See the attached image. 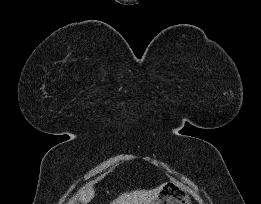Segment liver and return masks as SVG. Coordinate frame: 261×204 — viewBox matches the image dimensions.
<instances>
[{"label":"liver","mask_w":261,"mask_h":204,"mask_svg":"<svg viewBox=\"0 0 261 204\" xmlns=\"http://www.w3.org/2000/svg\"><path fill=\"white\" fill-rule=\"evenodd\" d=\"M161 186L151 190H137L130 193H123L110 204H151L159 196ZM94 195L93 185L87 184L79 190L76 199L69 204H75L76 200L86 204L93 199Z\"/></svg>","instance_id":"1"}]
</instances>
